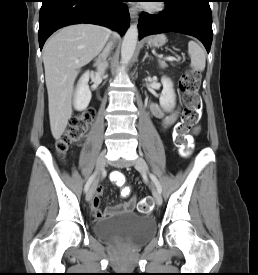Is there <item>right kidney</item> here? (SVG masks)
I'll use <instances>...</instances> for the list:
<instances>
[{
  "label": "right kidney",
  "instance_id": "ca27d5eb",
  "mask_svg": "<svg viewBox=\"0 0 258 275\" xmlns=\"http://www.w3.org/2000/svg\"><path fill=\"white\" fill-rule=\"evenodd\" d=\"M89 76V72L84 73L77 85L74 97V107L77 111L85 110L91 100L92 95L88 86Z\"/></svg>",
  "mask_w": 258,
  "mask_h": 275
}]
</instances>
